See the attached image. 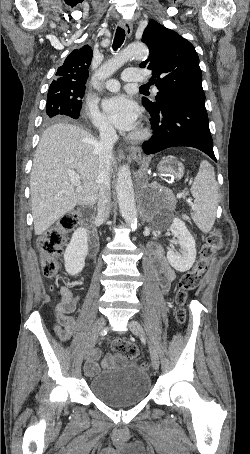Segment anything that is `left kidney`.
Returning a JSON list of instances; mask_svg holds the SVG:
<instances>
[{
	"mask_svg": "<svg viewBox=\"0 0 250 454\" xmlns=\"http://www.w3.org/2000/svg\"><path fill=\"white\" fill-rule=\"evenodd\" d=\"M169 229L177 238L180 250L177 251L174 248H170L167 252L168 262L179 272L188 271L196 259L195 240L185 223L179 218H173Z\"/></svg>",
	"mask_w": 250,
	"mask_h": 454,
	"instance_id": "obj_1",
	"label": "left kidney"
}]
</instances>
